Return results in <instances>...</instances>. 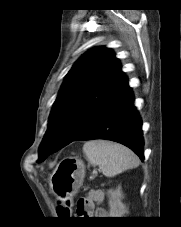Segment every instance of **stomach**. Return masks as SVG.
I'll return each instance as SVG.
<instances>
[{
  "mask_svg": "<svg viewBox=\"0 0 181 227\" xmlns=\"http://www.w3.org/2000/svg\"><path fill=\"white\" fill-rule=\"evenodd\" d=\"M85 165L76 158L69 157L61 160L49 178V185L54 195L61 201L75 196L83 184Z\"/></svg>",
  "mask_w": 181,
  "mask_h": 227,
  "instance_id": "0dacf381",
  "label": "stomach"
}]
</instances>
